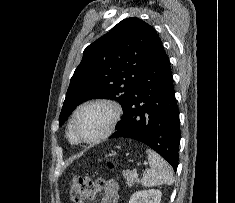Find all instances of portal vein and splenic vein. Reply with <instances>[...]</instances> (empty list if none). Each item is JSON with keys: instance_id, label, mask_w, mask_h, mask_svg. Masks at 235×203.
<instances>
[{"instance_id": "obj_1", "label": "portal vein and splenic vein", "mask_w": 235, "mask_h": 203, "mask_svg": "<svg viewBox=\"0 0 235 203\" xmlns=\"http://www.w3.org/2000/svg\"><path fill=\"white\" fill-rule=\"evenodd\" d=\"M134 175H135V176H138V175H137V172H135Z\"/></svg>"}]
</instances>
